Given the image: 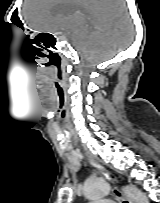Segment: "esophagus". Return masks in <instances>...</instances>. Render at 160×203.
<instances>
[{"label":"esophagus","mask_w":160,"mask_h":203,"mask_svg":"<svg viewBox=\"0 0 160 203\" xmlns=\"http://www.w3.org/2000/svg\"><path fill=\"white\" fill-rule=\"evenodd\" d=\"M87 158L89 159L90 163L97 168L99 171H101L104 176L112 183L113 185V189L112 192L114 195H116L117 197L122 199L123 203H132L130 201V199L124 197V196H120V191L117 188V184H118V179L116 176H114L113 174H111L110 172L106 171L92 156L87 155Z\"/></svg>","instance_id":"esophagus-1"}]
</instances>
